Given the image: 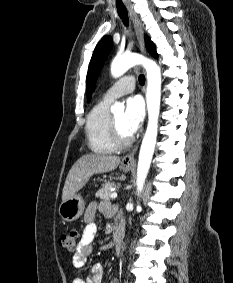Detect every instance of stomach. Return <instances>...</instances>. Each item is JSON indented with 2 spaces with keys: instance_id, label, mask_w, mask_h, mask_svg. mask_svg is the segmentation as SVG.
<instances>
[{
  "instance_id": "1",
  "label": "stomach",
  "mask_w": 233,
  "mask_h": 283,
  "mask_svg": "<svg viewBox=\"0 0 233 283\" xmlns=\"http://www.w3.org/2000/svg\"><path fill=\"white\" fill-rule=\"evenodd\" d=\"M132 168L131 164H124L123 162L120 165V169L124 172L130 171ZM85 204L84 200L79 194H75L66 201H63L59 206V215L61 218L67 222H72L77 220L84 211Z\"/></svg>"
}]
</instances>
